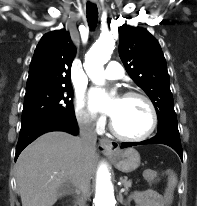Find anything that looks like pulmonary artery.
Listing matches in <instances>:
<instances>
[{"instance_id":"e3ab8cb5","label":"pulmonary artery","mask_w":197,"mask_h":206,"mask_svg":"<svg viewBox=\"0 0 197 206\" xmlns=\"http://www.w3.org/2000/svg\"><path fill=\"white\" fill-rule=\"evenodd\" d=\"M123 74L124 70L122 65L116 61H111L107 64L104 77L106 79L114 80L121 78Z\"/></svg>"}]
</instances>
